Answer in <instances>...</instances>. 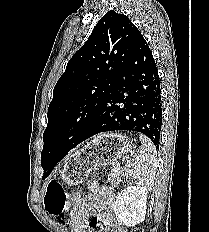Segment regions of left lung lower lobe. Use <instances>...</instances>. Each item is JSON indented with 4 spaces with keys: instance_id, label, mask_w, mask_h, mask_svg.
Instances as JSON below:
<instances>
[{
    "instance_id": "1",
    "label": "left lung lower lobe",
    "mask_w": 209,
    "mask_h": 232,
    "mask_svg": "<svg viewBox=\"0 0 209 232\" xmlns=\"http://www.w3.org/2000/svg\"><path fill=\"white\" fill-rule=\"evenodd\" d=\"M161 125L160 79L152 52L142 36L79 143L101 132L125 130L146 135L159 148Z\"/></svg>"
}]
</instances>
